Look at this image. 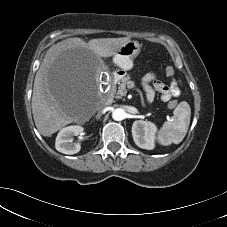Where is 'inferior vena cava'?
<instances>
[{"label":"inferior vena cava","instance_id":"1","mask_svg":"<svg viewBox=\"0 0 227 227\" xmlns=\"http://www.w3.org/2000/svg\"><path fill=\"white\" fill-rule=\"evenodd\" d=\"M104 108H105V104L99 106V108H98V111H99V112H98V115H101V114H102Z\"/></svg>","mask_w":227,"mask_h":227}]
</instances>
